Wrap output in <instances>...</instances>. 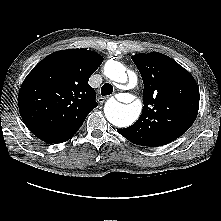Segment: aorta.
<instances>
[{
    "instance_id": "1",
    "label": "aorta",
    "mask_w": 221,
    "mask_h": 221,
    "mask_svg": "<svg viewBox=\"0 0 221 221\" xmlns=\"http://www.w3.org/2000/svg\"><path fill=\"white\" fill-rule=\"evenodd\" d=\"M105 75L117 82L128 83V75L125 72V67L118 61L109 60L104 67ZM132 82L136 81L135 73L130 75ZM131 101H129L130 103ZM142 105L139 101H134L130 104H122L115 99H109L105 103L104 113L107 120L117 127H126L135 122L140 113Z\"/></svg>"
}]
</instances>
